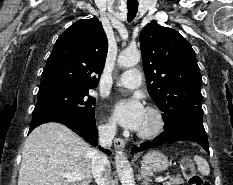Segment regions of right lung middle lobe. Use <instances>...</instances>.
I'll return each mask as SVG.
<instances>
[{
    "label": "right lung middle lobe",
    "mask_w": 233,
    "mask_h": 185,
    "mask_svg": "<svg viewBox=\"0 0 233 185\" xmlns=\"http://www.w3.org/2000/svg\"><path fill=\"white\" fill-rule=\"evenodd\" d=\"M33 114L39 112L66 113L95 120L96 100L86 89L55 87L38 91Z\"/></svg>",
    "instance_id": "right-lung-middle-lobe-1"
}]
</instances>
